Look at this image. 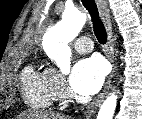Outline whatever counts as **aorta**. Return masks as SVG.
Listing matches in <instances>:
<instances>
[{
    "instance_id": "obj_1",
    "label": "aorta",
    "mask_w": 142,
    "mask_h": 119,
    "mask_svg": "<svg viewBox=\"0 0 142 119\" xmlns=\"http://www.w3.org/2000/svg\"><path fill=\"white\" fill-rule=\"evenodd\" d=\"M87 16L79 10L66 9L62 20L49 29L43 36L42 46L46 55L56 62L63 74L70 72L71 42L81 31L86 23ZM117 105V95L110 94L103 102L98 112L97 119H113Z\"/></svg>"
}]
</instances>
